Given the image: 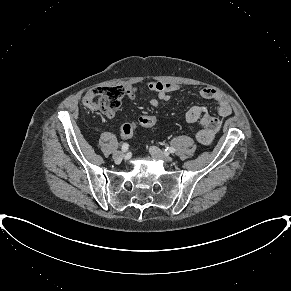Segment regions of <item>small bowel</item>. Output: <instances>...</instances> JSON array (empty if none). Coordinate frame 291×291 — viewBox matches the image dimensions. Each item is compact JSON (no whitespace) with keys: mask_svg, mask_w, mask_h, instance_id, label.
<instances>
[{"mask_svg":"<svg viewBox=\"0 0 291 291\" xmlns=\"http://www.w3.org/2000/svg\"><path fill=\"white\" fill-rule=\"evenodd\" d=\"M148 89L156 94L150 100V105L154 108L160 106L162 102H167L170 99V93L176 91L178 86L171 82L152 81L148 83ZM138 88L133 85L125 87L126 97L134 101L136 99ZM201 97L207 100H213L217 103V112L221 117H227L232 113V107L226 97L219 91L212 88H203L200 91ZM108 118H113L116 115L115 110L105 111ZM186 122L193 128L199 122L201 128L195 131L196 139L204 145L212 142L215 134L220 130L222 121L219 118L213 117L208 113L205 106H193L185 114Z\"/></svg>","mask_w":291,"mask_h":291,"instance_id":"1","label":"small bowel"}]
</instances>
